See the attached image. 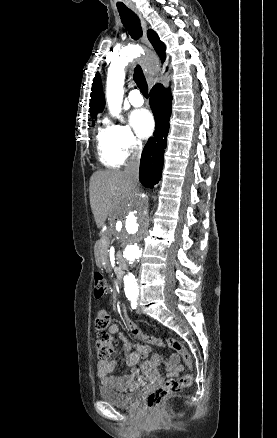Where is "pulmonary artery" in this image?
<instances>
[{
  "mask_svg": "<svg viewBox=\"0 0 277 438\" xmlns=\"http://www.w3.org/2000/svg\"><path fill=\"white\" fill-rule=\"evenodd\" d=\"M143 94H144V89L142 87H132L131 90H130V94H129L130 103L134 107H141V106H143L144 100H143L142 97H140Z\"/></svg>",
  "mask_w": 277,
  "mask_h": 438,
  "instance_id": "1",
  "label": "pulmonary artery"
}]
</instances>
